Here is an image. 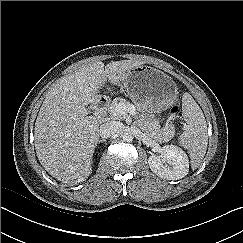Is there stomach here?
Instances as JSON below:
<instances>
[{"instance_id": "1", "label": "stomach", "mask_w": 243, "mask_h": 243, "mask_svg": "<svg viewBox=\"0 0 243 243\" xmlns=\"http://www.w3.org/2000/svg\"><path fill=\"white\" fill-rule=\"evenodd\" d=\"M119 84L135 105L153 113L166 110L177 99V86L172 78L151 66L131 69Z\"/></svg>"}]
</instances>
